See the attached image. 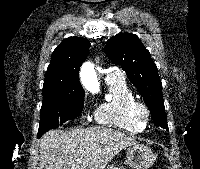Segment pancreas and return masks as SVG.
<instances>
[{"mask_svg":"<svg viewBox=\"0 0 200 169\" xmlns=\"http://www.w3.org/2000/svg\"><path fill=\"white\" fill-rule=\"evenodd\" d=\"M107 169H121V168H118V167H115V166H110Z\"/></svg>","mask_w":200,"mask_h":169,"instance_id":"pancreas-1","label":"pancreas"}]
</instances>
